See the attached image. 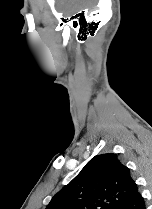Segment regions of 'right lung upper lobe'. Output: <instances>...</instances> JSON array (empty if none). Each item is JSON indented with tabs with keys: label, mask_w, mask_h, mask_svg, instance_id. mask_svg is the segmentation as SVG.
Here are the masks:
<instances>
[{
	"label": "right lung upper lobe",
	"mask_w": 152,
	"mask_h": 209,
	"mask_svg": "<svg viewBox=\"0 0 152 209\" xmlns=\"http://www.w3.org/2000/svg\"><path fill=\"white\" fill-rule=\"evenodd\" d=\"M137 189L117 154H101L93 157L46 209H118Z\"/></svg>",
	"instance_id": "1"
}]
</instances>
